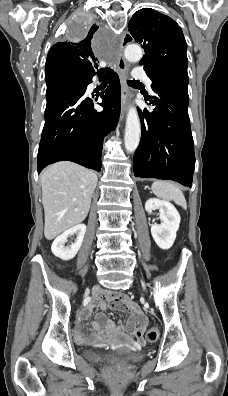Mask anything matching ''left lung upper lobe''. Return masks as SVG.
Segmentation results:
<instances>
[{"mask_svg": "<svg viewBox=\"0 0 228 396\" xmlns=\"http://www.w3.org/2000/svg\"><path fill=\"white\" fill-rule=\"evenodd\" d=\"M128 28L129 41L133 38L145 50L139 64L152 82H172L187 88V43L180 26L154 9L143 8L133 14Z\"/></svg>", "mask_w": 228, "mask_h": 396, "instance_id": "left-lung-upper-lobe-1", "label": "left lung upper lobe"}]
</instances>
